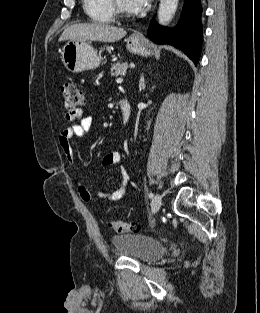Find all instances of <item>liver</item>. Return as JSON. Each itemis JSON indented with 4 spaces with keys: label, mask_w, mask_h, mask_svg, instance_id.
<instances>
[{
    "label": "liver",
    "mask_w": 260,
    "mask_h": 313,
    "mask_svg": "<svg viewBox=\"0 0 260 313\" xmlns=\"http://www.w3.org/2000/svg\"><path fill=\"white\" fill-rule=\"evenodd\" d=\"M126 35L123 28L103 23H78L67 27L61 34L59 41H100L115 42Z\"/></svg>",
    "instance_id": "6515ba94"
}]
</instances>
